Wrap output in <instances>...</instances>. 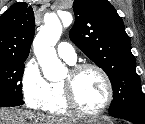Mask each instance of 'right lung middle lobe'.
<instances>
[{
    "label": "right lung middle lobe",
    "instance_id": "obj_1",
    "mask_svg": "<svg viewBox=\"0 0 145 124\" xmlns=\"http://www.w3.org/2000/svg\"><path fill=\"white\" fill-rule=\"evenodd\" d=\"M26 59L0 60V101L22 100L21 83Z\"/></svg>",
    "mask_w": 145,
    "mask_h": 124
}]
</instances>
